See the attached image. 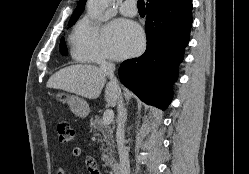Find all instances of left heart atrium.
<instances>
[{
  "instance_id": "obj_1",
  "label": "left heart atrium",
  "mask_w": 249,
  "mask_h": 174,
  "mask_svg": "<svg viewBox=\"0 0 249 174\" xmlns=\"http://www.w3.org/2000/svg\"><path fill=\"white\" fill-rule=\"evenodd\" d=\"M104 41L111 58L123 59L141 51L144 37L141 28L136 23L117 19L106 28Z\"/></svg>"
}]
</instances>
